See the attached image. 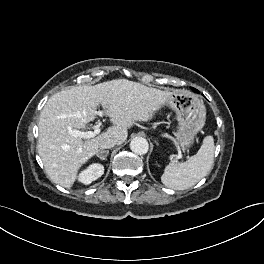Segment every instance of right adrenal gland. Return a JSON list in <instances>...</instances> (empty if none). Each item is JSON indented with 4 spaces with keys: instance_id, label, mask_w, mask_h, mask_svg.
Masks as SVG:
<instances>
[{
    "instance_id": "2a0ac1e0",
    "label": "right adrenal gland",
    "mask_w": 264,
    "mask_h": 264,
    "mask_svg": "<svg viewBox=\"0 0 264 264\" xmlns=\"http://www.w3.org/2000/svg\"><path fill=\"white\" fill-rule=\"evenodd\" d=\"M108 154H109V151H108V150H106V151H105V150H101V151H99V152L96 154V156H97L99 159H101V160H106Z\"/></svg>"
}]
</instances>
